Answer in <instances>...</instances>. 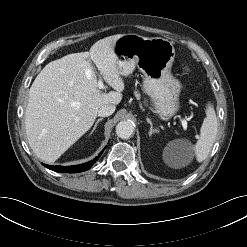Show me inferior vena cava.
<instances>
[{"label":"inferior vena cava","mask_w":247,"mask_h":247,"mask_svg":"<svg viewBox=\"0 0 247 247\" xmlns=\"http://www.w3.org/2000/svg\"><path fill=\"white\" fill-rule=\"evenodd\" d=\"M115 106L114 105H102L99 109H98V116L101 117H107L110 116L111 114L114 113L115 111Z\"/></svg>","instance_id":"1"}]
</instances>
